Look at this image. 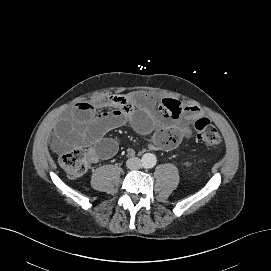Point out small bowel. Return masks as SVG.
<instances>
[{
	"label": "small bowel",
	"instance_id": "1",
	"mask_svg": "<svg viewBox=\"0 0 271 271\" xmlns=\"http://www.w3.org/2000/svg\"><path fill=\"white\" fill-rule=\"evenodd\" d=\"M103 108L111 110L101 112ZM200 114L196 106H183L171 98L158 100L144 91L100 96L74 106L56 126L53 144L58 150L70 146L89 148L93 162L108 159L117 153L118 144L107 138V133L130 122L142 134L154 131L155 148L171 150L193 133L180 119Z\"/></svg>",
	"mask_w": 271,
	"mask_h": 271
}]
</instances>
